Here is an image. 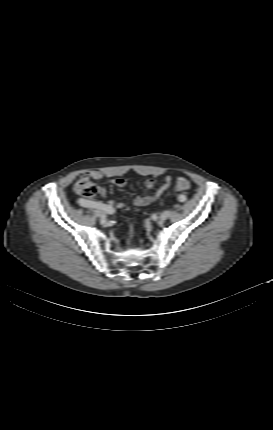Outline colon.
Segmentation results:
<instances>
[{"mask_svg":"<svg viewBox=\"0 0 273 430\" xmlns=\"http://www.w3.org/2000/svg\"><path fill=\"white\" fill-rule=\"evenodd\" d=\"M190 188V183L187 180H181L178 181L175 185V189L177 191H185ZM74 191L77 195L82 197H93L98 192V187L93 181V179L88 175L85 174L81 178L78 179V181L74 185ZM179 197H182V195H179Z\"/></svg>","mask_w":273,"mask_h":430,"instance_id":"colon-1","label":"colon"}]
</instances>
